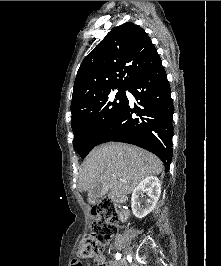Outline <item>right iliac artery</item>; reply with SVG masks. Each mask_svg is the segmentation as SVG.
<instances>
[{
	"label": "right iliac artery",
	"instance_id": "right-iliac-artery-1",
	"mask_svg": "<svg viewBox=\"0 0 221 266\" xmlns=\"http://www.w3.org/2000/svg\"><path fill=\"white\" fill-rule=\"evenodd\" d=\"M121 258V254L120 253H117L116 254V260H119Z\"/></svg>",
	"mask_w": 221,
	"mask_h": 266
}]
</instances>
